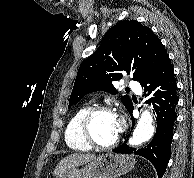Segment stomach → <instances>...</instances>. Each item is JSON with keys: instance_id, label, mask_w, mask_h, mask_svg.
Returning a JSON list of instances; mask_svg holds the SVG:
<instances>
[{"instance_id": "obj_1", "label": "stomach", "mask_w": 194, "mask_h": 178, "mask_svg": "<svg viewBox=\"0 0 194 178\" xmlns=\"http://www.w3.org/2000/svg\"><path fill=\"white\" fill-rule=\"evenodd\" d=\"M135 162L132 156L102 154L85 167L69 169L56 178H117L131 171Z\"/></svg>"}]
</instances>
